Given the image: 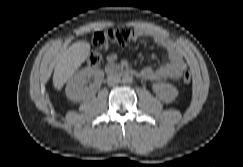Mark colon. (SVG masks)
Masks as SVG:
<instances>
[{
  "instance_id": "5ec220e1",
  "label": "colon",
  "mask_w": 243,
  "mask_h": 167,
  "mask_svg": "<svg viewBox=\"0 0 243 167\" xmlns=\"http://www.w3.org/2000/svg\"><path fill=\"white\" fill-rule=\"evenodd\" d=\"M133 32L128 27L108 28L96 31L93 36L94 50L90 53L87 63L91 67L99 66L103 61L102 52L114 47H126L131 42ZM192 80L190 73L183 75V81L189 84Z\"/></svg>"
}]
</instances>
